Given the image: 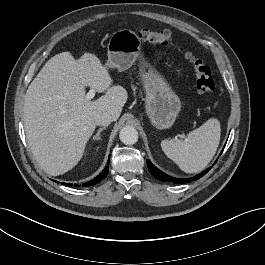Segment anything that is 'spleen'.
<instances>
[{"label":"spleen","mask_w":265,"mask_h":265,"mask_svg":"<svg viewBox=\"0 0 265 265\" xmlns=\"http://www.w3.org/2000/svg\"><path fill=\"white\" fill-rule=\"evenodd\" d=\"M220 123L209 119L191 131L185 140H162L161 148L186 173L202 171L212 160L219 146Z\"/></svg>","instance_id":"obj_1"}]
</instances>
